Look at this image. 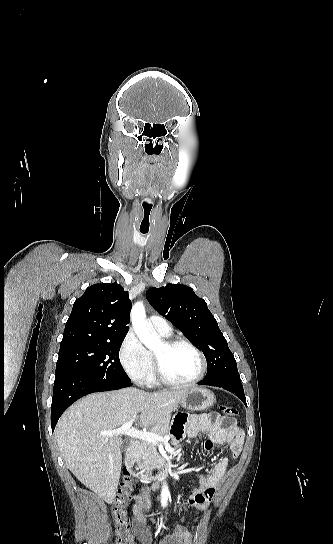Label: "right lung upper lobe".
Here are the masks:
<instances>
[{
  "instance_id": "cb5924a9",
  "label": "right lung upper lobe",
  "mask_w": 333,
  "mask_h": 544,
  "mask_svg": "<svg viewBox=\"0 0 333 544\" xmlns=\"http://www.w3.org/2000/svg\"><path fill=\"white\" fill-rule=\"evenodd\" d=\"M131 301L117 283L88 287L73 305L60 348L126 336Z\"/></svg>"
}]
</instances>
